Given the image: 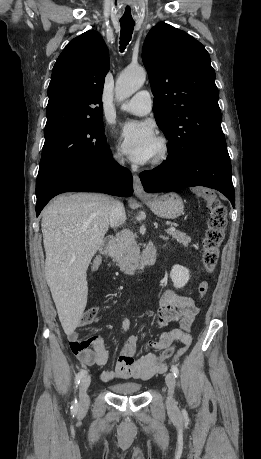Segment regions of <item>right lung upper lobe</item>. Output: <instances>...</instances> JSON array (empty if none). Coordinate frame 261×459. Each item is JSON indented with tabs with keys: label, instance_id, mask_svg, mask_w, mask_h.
Returning a JSON list of instances; mask_svg holds the SVG:
<instances>
[{
	"label": "right lung upper lobe",
	"instance_id": "1",
	"mask_svg": "<svg viewBox=\"0 0 261 459\" xmlns=\"http://www.w3.org/2000/svg\"><path fill=\"white\" fill-rule=\"evenodd\" d=\"M108 70V49L98 32L89 30L68 43L53 67L45 130L103 120Z\"/></svg>",
	"mask_w": 261,
	"mask_h": 459
}]
</instances>
